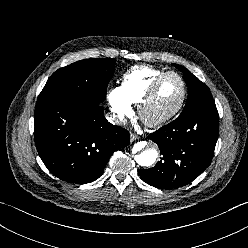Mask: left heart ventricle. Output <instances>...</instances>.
Listing matches in <instances>:
<instances>
[{"label":"left heart ventricle","instance_id":"b2bd125f","mask_svg":"<svg viewBox=\"0 0 248 248\" xmlns=\"http://www.w3.org/2000/svg\"><path fill=\"white\" fill-rule=\"evenodd\" d=\"M181 93L182 85L177 77L169 76L165 78L148 109V115L154 117L171 110L179 102Z\"/></svg>","mask_w":248,"mask_h":248}]
</instances>
